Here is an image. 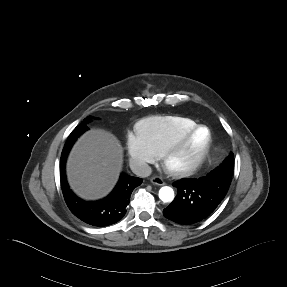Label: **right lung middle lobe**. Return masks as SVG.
Masks as SVG:
<instances>
[{
  "mask_svg": "<svg viewBox=\"0 0 287 287\" xmlns=\"http://www.w3.org/2000/svg\"><path fill=\"white\" fill-rule=\"evenodd\" d=\"M90 120H91V117H87V118H85L84 121H83L80 125H78V126L86 125ZM78 126H77V127H78Z\"/></svg>",
  "mask_w": 287,
  "mask_h": 287,
  "instance_id": "1",
  "label": "right lung middle lobe"
}]
</instances>
